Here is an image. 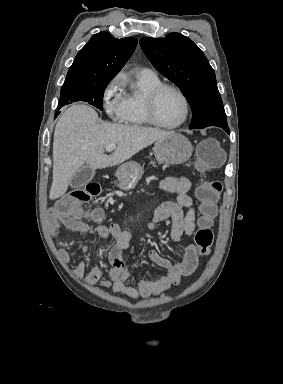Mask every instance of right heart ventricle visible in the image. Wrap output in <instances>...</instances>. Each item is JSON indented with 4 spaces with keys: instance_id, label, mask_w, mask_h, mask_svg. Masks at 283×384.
Returning a JSON list of instances; mask_svg holds the SVG:
<instances>
[{
    "instance_id": "e07e8e85",
    "label": "right heart ventricle",
    "mask_w": 283,
    "mask_h": 384,
    "mask_svg": "<svg viewBox=\"0 0 283 384\" xmlns=\"http://www.w3.org/2000/svg\"><path fill=\"white\" fill-rule=\"evenodd\" d=\"M136 85L140 87L139 93H127L124 96L123 123L130 127L144 128L149 125L143 111V101L146 94L161 84L159 78L144 74L136 75Z\"/></svg>"
}]
</instances>
